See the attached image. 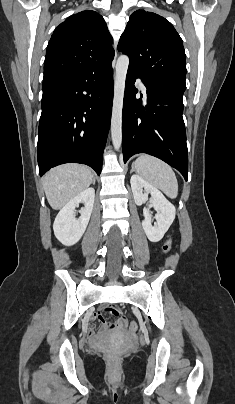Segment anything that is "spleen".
I'll return each mask as SVG.
<instances>
[{
	"mask_svg": "<svg viewBox=\"0 0 235 404\" xmlns=\"http://www.w3.org/2000/svg\"><path fill=\"white\" fill-rule=\"evenodd\" d=\"M132 165L143 179L162 190L169 198L177 197V178L168 164L156 157L142 154Z\"/></svg>",
	"mask_w": 235,
	"mask_h": 404,
	"instance_id": "1",
	"label": "spleen"
}]
</instances>
